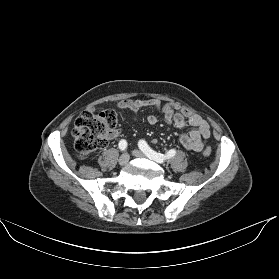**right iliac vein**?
<instances>
[{"label": "right iliac vein", "instance_id": "right-iliac-vein-1", "mask_svg": "<svg viewBox=\"0 0 279 279\" xmlns=\"http://www.w3.org/2000/svg\"><path fill=\"white\" fill-rule=\"evenodd\" d=\"M128 161H129V155L127 153H124L119 158V164L122 166L126 165L128 163Z\"/></svg>", "mask_w": 279, "mask_h": 279}]
</instances>
